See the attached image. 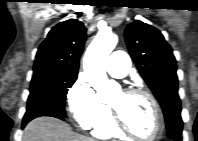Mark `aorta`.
Listing matches in <instances>:
<instances>
[{
	"instance_id": "aorta-1",
	"label": "aorta",
	"mask_w": 198,
	"mask_h": 141,
	"mask_svg": "<svg viewBox=\"0 0 198 141\" xmlns=\"http://www.w3.org/2000/svg\"><path fill=\"white\" fill-rule=\"evenodd\" d=\"M117 42L118 37L113 33H98L84 56L83 65L87 80L102 102H109L119 90L118 84L108 79L105 69L106 60Z\"/></svg>"
}]
</instances>
